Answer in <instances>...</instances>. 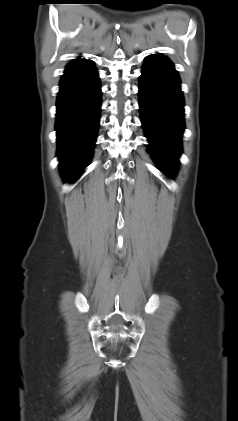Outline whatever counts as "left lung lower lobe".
I'll list each match as a JSON object with an SVG mask.
<instances>
[{
    "instance_id": "obj_1",
    "label": "left lung lower lobe",
    "mask_w": 238,
    "mask_h": 421,
    "mask_svg": "<svg viewBox=\"0 0 238 421\" xmlns=\"http://www.w3.org/2000/svg\"><path fill=\"white\" fill-rule=\"evenodd\" d=\"M138 95L149 152L163 173L173 175L182 151L184 98L178 73L164 55L153 54L146 59Z\"/></svg>"
}]
</instances>
